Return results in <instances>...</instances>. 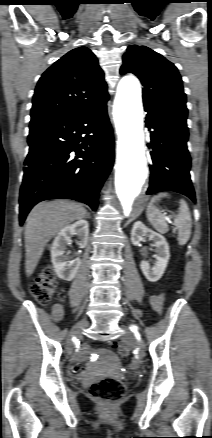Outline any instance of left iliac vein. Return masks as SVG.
Returning <instances> with one entry per match:
<instances>
[{
    "mask_svg": "<svg viewBox=\"0 0 212 438\" xmlns=\"http://www.w3.org/2000/svg\"><path fill=\"white\" fill-rule=\"evenodd\" d=\"M122 339L126 341L127 343H133L134 341V334L131 331L125 332V334L122 336ZM139 346L144 350L145 344L142 340L139 341Z\"/></svg>",
    "mask_w": 212,
    "mask_h": 438,
    "instance_id": "4c4485c4",
    "label": "left iliac vein"
}]
</instances>
